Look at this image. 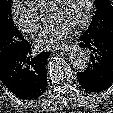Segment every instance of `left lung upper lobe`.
I'll list each match as a JSON object with an SVG mask.
<instances>
[{"label": "left lung upper lobe", "mask_w": 113, "mask_h": 113, "mask_svg": "<svg viewBox=\"0 0 113 113\" xmlns=\"http://www.w3.org/2000/svg\"><path fill=\"white\" fill-rule=\"evenodd\" d=\"M96 13L85 31L86 34L113 31V7L109 0H95Z\"/></svg>", "instance_id": "5c2ea615"}]
</instances>
